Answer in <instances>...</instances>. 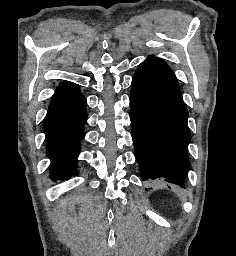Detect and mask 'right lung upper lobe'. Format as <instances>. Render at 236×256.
Returning a JSON list of instances; mask_svg holds the SVG:
<instances>
[{
  "label": "right lung upper lobe",
  "mask_w": 236,
  "mask_h": 256,
  "mask_svg": "<svg viewBox=\"0 0 236 256\" xmlns=\"http://www.w3.org/2000/svg\"><path fill=\"white\" fill-rule=\"evenodd\" d=\"M74 83L72 82H69V81H64V83H62L57 89H56V92H55V95L60 93L61 91L65 90L66 88L72 86Z\"/></svg>",
  "instance_id": "right-lung-upper-lobe-1"
}]
</instances>
